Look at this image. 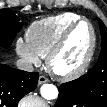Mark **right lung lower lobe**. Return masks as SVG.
Segmentation results:
<instances>
[{
  "instance_id": "1",
  "label": "right lung lower lobe",
  "mask_w": 107,
  "mask_h": 107,
  "mask_svg": "<svg viewBox=\"0 0 107 107\" xmlns=\"http://www.w3.org/2000/svg\"><path fill=\"white\" fill-rule=\"evenodd\" d=\"M37 82V72L30 73L0 64V107H17L19 100L36 88Z\"/></svg>"
}]
</instances>
